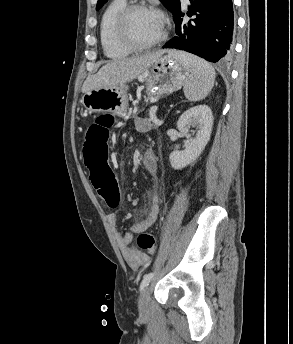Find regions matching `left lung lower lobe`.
Wrapping results in <instances>:
<instances>
[{
  "mask_svg": "<svg viewBox=\"0 0 293 344\" xmlns=\"http://www.w3.org/2000/svg\"><path fill=\"white\" fill-rule=\"evenodd\" d=\"M189 21L181 5L173 13L176 35L163 48L185 50L210 62L227 63L233 56L234 15L232 0H189Z\"/></svg>",
  "mask_w": 293,
  "mask_h": 344,
  "instance_id": "obj_1",
  "label": "left lung lower lobe"
}]
</instances>
